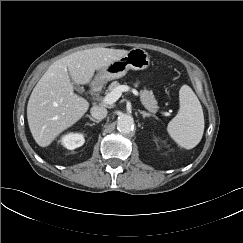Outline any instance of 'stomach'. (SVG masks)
<instances>
[{
    "instance_id": "stomach-1",
    "label": "stomach",
    "mask_w": 243,
    "mask_h": 243,
    "mask_svg": "<svg viewBox=\"0 0 243 243\" xmlns=\"http://www.w3.org/2000/svg\"><path fill=\"white\" fill-rule=\"evenodd\" d=\"M149 54L142 48H133L123 57L111 62L98 72L95 80L97 83L123 77L128 70H143L149 67Z\"/></svg>"
}]
</instances>
